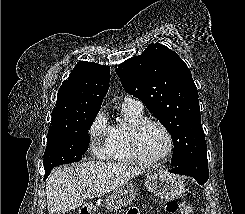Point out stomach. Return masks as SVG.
Listing matches in <instances>:
<instances>
[{
    "mask_svg": "<svg viewBox=\"0 0 245 214\" xmlns=\"http://www.w3.org/2000/svg\"><path fill=\"white\" fill-rule=\"evenodd\" d=\"M145 186L151 193L164 200L179 198L185 192L184 181L179 176L164 171L150 174L145 180ZM136 192V187L127 182L106 198L105 206L109 210L126 207L134 200ZM86 208L90 214H93L91 213L94 208L92 205L88 204Z\"/></svg>",
    "mask_w": 245,
    "mask_h": 214,
    "instance_id": "stomach-1",
    "label": "stomach"
}]
</instances>
